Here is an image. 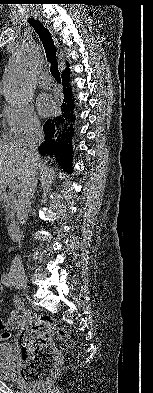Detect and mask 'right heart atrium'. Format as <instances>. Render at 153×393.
<instances>
[{"mask_svg": "<svg viewBox=\"0 0 153 393\" xmlns=\"http://www.w3.org/2000/svg\"><path fill=\"white\" fill-rule=\"evenodd\" d=\"M8 133L14 137L24 136L39 129V118L31 105L10 106L3 112Z\"/></svg>", "mask_w": 153, "mask_h": 393, "instance_id": "obj_1", "label": "right heart atrium"}]
</instances>
